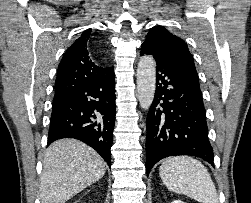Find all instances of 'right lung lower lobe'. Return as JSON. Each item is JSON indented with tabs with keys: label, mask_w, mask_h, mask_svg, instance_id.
<instances>
[{
	"label": "right lung lower lobe",
	"mask_w": 251,
	"mask_h": 203,
	"mask_svg": "<svg viewBox=\"0 0 251 203\" xmlns=\"http://www.w3.org/2000/svg\"><path fill=\"white\" fill-rule=\"evenodd\" d=\"M115 124V75L88 81L68 95L53 100L48 145L76 138L94 148L111 167Z\"/></svg>",
	"instance_id": "obj_1"
}]
</instances>
